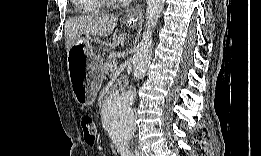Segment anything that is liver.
<instances>
[{"mask_svg": "<svg viewBox=\"0 0 261 156\" xmlns=\"http://www.w3.org/2000/svg\"><path fill=\"white\" fill-rule=\"evenodd\" d=\"M113 14H91L72 17L65 23V46L67 53L77 40L85 36L108 37L117 25Z\"/></svg>", "mask_w": 261, "mask_h": 156, "instance_id": "1", "label": "liver"}]
</instances>
